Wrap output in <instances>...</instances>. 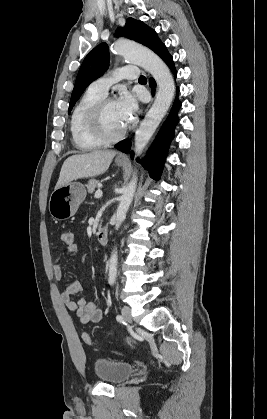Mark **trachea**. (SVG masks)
<instances>
[{"instance_id": "obj_1", "label": "trachea", "mask_w": 267, "mask_h": 419, "mask_svg": "<svg viewBox=\"0 0 267 419\" xmlns=\"http://www.w3.org/2000/svg\"><path fill=\"white\" fill-rule=\"evenodd\" d=\"M144 80H146L145 76L142 75V76L139 77V81H144Z\"/></svg>"}]
</instances>
